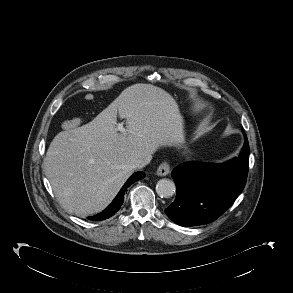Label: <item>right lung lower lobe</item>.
<instances>
[{"label":"right lung lower lobe","mask_w":293,"mask_h":293,"mask_svg":"<svg viewBox=\"0 0 293 293\" xmlns=\"http://www.w3.org/2000/svg\"><path fill=\"white\" fill-rule=\"evenodd\" d=\"M143 177H144L143 172L134 173L127 180V182L124 184V186L122 187V189L120 190L118 195L115 197V199L112 201V203L103 212H101L93 217H89L88 219L93 220V221H100V220H104V219H107V218L113 216L120 209V207L123 204V196H124V192L126 191L127 187L130 184L134 183L135 181L140 180Z\"/></svg>","instance_id":"98d812e1"}]
</instances>
